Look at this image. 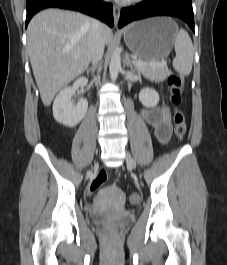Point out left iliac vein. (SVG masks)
<instances>
[{"label": "left iliac vein", "instance_id": "left-iliac-vein-1", "mask_svg": "<svg viewBox=\"0 0 227 265\" xmlns=\"http://www.w3.org/2000/svg\"><path fill=\"white\" fill-rule=\"evenodd\" d=\"M126 162H127L128 166L135 169L136 163H135L134 159L132 158V156L130 155L129 152H126Z\"/></svg>", "mask_w": 227, "mask_h": 265}]
</instances>
